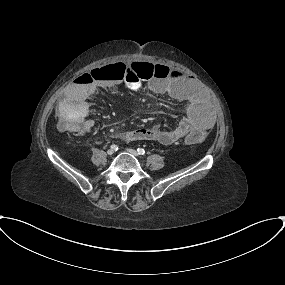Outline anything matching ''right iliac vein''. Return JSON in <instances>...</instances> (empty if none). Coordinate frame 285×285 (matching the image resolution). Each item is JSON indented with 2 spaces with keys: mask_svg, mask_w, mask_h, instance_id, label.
Segmentation results:
<instances>
[{
  "mask_svg": "<svg viewBox=\"0 0 285 285\" xmlns=\"http://www.w3.org/2000/svg\"><path fill=\"white\" fill-rule=\"evenodd\" d=\"M114 153V150L113 149H109L108 151H107V154L108 155H112Z\"/></svg>",
  "mask_w": 285,
  "mask_h": 285,
  "instance_id": "63e3f726",
  "label": "right iliac vein"
}]
</instances>
